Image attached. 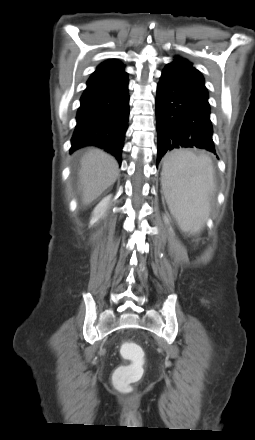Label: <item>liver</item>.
Here are the masks:
<instances>
[{"label": "liver", "mask_w": 255, "mask_h": 440, "mask_svg": "<svg viewBox=\"0 0 255 440\" xmlns=\"http://www.w3.org/2000/svg\"><path fill=\"white\" fill-rule=\"evenodd\" d=\"M119 174L115 158L104 151L91 148L81 159L79 182L82 202L90 204L114 184Z\"/></svg>", "instance_id": "liver-1"}]
</instances>
